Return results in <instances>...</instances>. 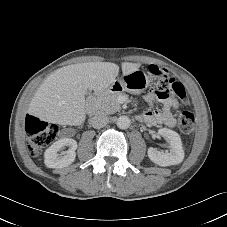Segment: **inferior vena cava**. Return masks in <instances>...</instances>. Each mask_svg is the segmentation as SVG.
I'll use <instances>...</instances> for the list:
<instances>
[{
  "mask_svg": "<svg viewBox=\"0 0 227 227\" xmlns=\"http://www.w3.org/2000/svg\"><path fill=\"white\" fill-rule=\"evenodd\" d=\"M90 122L94 128L100 129V128L105 127L108 124L109 119L104 114H97L91 118Z\"/></svg>",
  "mask_w": 227,
  "mask_h": 227,
  "instance_id": "inferior-vena-cava-1",
  "label": "inferior vena cava"
}]
</instances>
